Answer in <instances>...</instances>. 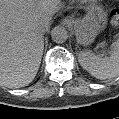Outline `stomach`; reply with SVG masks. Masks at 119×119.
I'll list each match as a JSON object with an SVG mask.
<instances>
[{"label": "stomach", "mask_w": 119, "mask_h": 119, "mask_svg": "<svg viewBox=\"0 0 119 119\" xmlns=\"http://www.w3.org/2000/svg\"><path fill=\"white\" fill-rule=\"evenodd\" d=\"M86 14L82 19L72 21L78 43L91 44L98 32L106 26L107 13L98 0H84Z\"/></svg>", "instance_id": "stomach-1"}]
</instances>
